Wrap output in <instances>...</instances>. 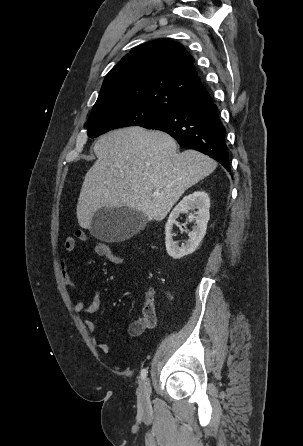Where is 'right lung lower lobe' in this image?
<instances>
[{
  "label": "right lung lower lobe",
  "mask_w": 303,
  "mask_h": 446,
  "mask_svg": "<svg viewBox=\"0 0 303 446\" xmlns=\"http://www.w3.org/2000/svg\"><path fill=\"white\" fill-rule=\"evenodd\" d=\"M140 126L164 131L180 145L210 156L230 171L225 128L209 93L166 111Z\"/></svg>",
  "instance_id": "1"
}]
</instances>
